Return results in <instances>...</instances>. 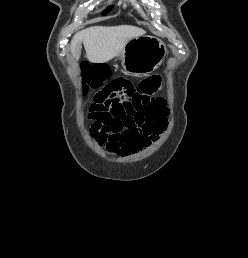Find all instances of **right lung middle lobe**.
<instances>
[{"mask_svg":"<svg viewBox=\"0 0 248 258\" xmlns=\"http://www.w3.org/2000/svg\"><path fill=\"white\" fill-rule=\"evenodd\" d=\"M113 8V6H109L106 10L103 11V15L107 14L111 9Z\"/></svg>","mask_w":248,"mask_h":258,"instance_id":"obj_1","label":"right lung middle lobe"}]
</instances>
